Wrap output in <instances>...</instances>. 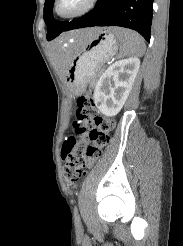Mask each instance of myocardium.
<instances>
[{
	"mask_svg": "<svg viewBox=\"0 0 183 246\" xmlns=\"http://www.w3.org/2000/svg\"><path fill=\"white\" fill-rule=\"evenodd\" d=\"M64 1L65 0H55L53 4V13L60 19H72L84 15L90 11L97 2V0H81L76 8L65 11L62 9Z\"/></svg>",
	"mask_w": 183,
	"mask_h": 246,
	"instance_id": "1",
	"label": "myocardium"
}]
</instances>
